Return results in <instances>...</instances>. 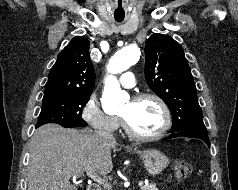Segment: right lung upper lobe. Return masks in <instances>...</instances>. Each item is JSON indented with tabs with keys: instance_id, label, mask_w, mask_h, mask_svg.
Here are the masks:
<instances>
[{
	"instance_id": "obj_1",
	"label": "right lung upper lobe",
	"mask_w": 238,
	"mask_h": 190,
	"mask_svg": "<svg viewBox=\"0 0 238 190\" xmlns=\"http://www.w3.org/2000/svg\"><path fill=\"white\" fill-rule=\"evenodd\" d=\"M89 41L74 37L57 56L49 72L44 97L59 95H91L95 72L89 59Z\"/></svg>"
}]
</instances>
